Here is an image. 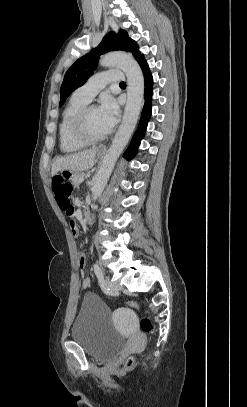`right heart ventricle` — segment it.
<instances>
[{"label": "right heart ventricle", "mask_w": 247, "mask_h": 407, "mask_svg": "<svg viewBox=\"0 0 247 407\" xmlns=\"http://www.w3.org/2000/svg\"><path fill=\"white\" fill-rule=\"evenodd\" d=\"M87 105V102L74 98L73 96L65 105L58 126L59 146L64 153H75L87 146L78 140L73 133V120L78 111Z\"/></svg>", "instance_id": "right-heart-ventricle-1"}]
</instances>
